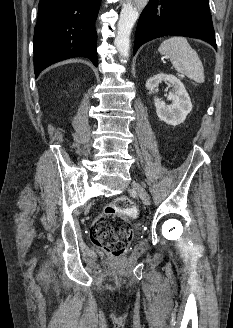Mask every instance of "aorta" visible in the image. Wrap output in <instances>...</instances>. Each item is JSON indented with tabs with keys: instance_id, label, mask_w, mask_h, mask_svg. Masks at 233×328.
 Returning <instances> with one entry per match:
<instances>
[{
	"instance_id": "aorta-1",
	"label": "aorta",
	"mask_w": 233,
	"mask_h": 328,
	"mask_svg": "<svg viewBox=\"0 0 233 328\" xmlns=\"http://www.w3.org/2000/svg\"><path fill=\"white\" fill-rule=\"evenodd\" d=\"M149 0H126L118 22L114 44L120 53L121 61L126 62L130 51V35L140 11Z\"/></svg>"
}]
</instances>
